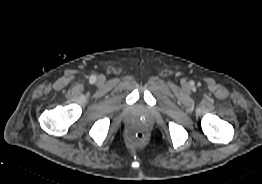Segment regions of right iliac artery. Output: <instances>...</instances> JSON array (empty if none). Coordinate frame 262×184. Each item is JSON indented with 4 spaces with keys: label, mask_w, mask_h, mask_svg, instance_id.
<instances>
[{
    "label": "right iliac artery",
    "mask_w": 262,
    "mask_h": 184,
    "mask_svg": "<svg viewBox=\"0 0 262 184\" xmlns=\"http://www.w3.org/2000/svg\"><path fill=\"white\" fill-rule=\"evenodd\" d=\"M95 80H96V77L94 75L90 77L91 82H94Z\"/></svg>",
    "instance_id": "obj_1"
}]
</instances>
